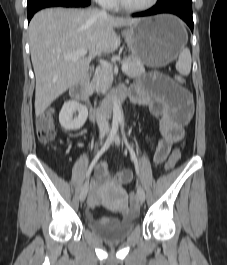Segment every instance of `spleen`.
Segmentation results:
<instances>
[{
  "mask_svg": "<svg viewBox=\"0 0 227 265\" xmlns=\"http://www.w3.org/2000/svg\"><path fill=\"white\" fill-rule=\"evenodd\" d=\"M191 53L187 47H183L179 53L176 69L182 75H189L191 71Z\"/></svg>",
  "mask_w": 227,
  "mask_h": 265,
  "instance_id": "spleen-1",
  "label": "spleen"
}]
</instances>
